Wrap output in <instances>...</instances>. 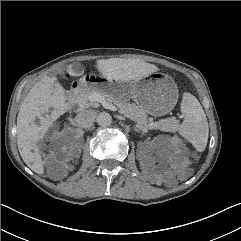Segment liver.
<instances>
[{"label": "liver", "instance_id": "obj_1", "mask_svg": "<svg viewBox=\"0 0 241 241\" xmlns=\"http://www.w3.org/2000/svg\"><path fill=\"white\" fill-rule=\"evenodd\" d=\"M100 74L109 80L131 81L145 75L157 72L158 68L150 63L135 60L110 58L97 62ZM68 74L76 75L71 65L67 67ZM66 95L55 77H45L36 83L21 104L17 116V144L23 161L37 174L44 173L41 156L32 152L36 149V142L52 125V118H45L43 113L53 108L52 114L58 115L66 110ZM40 119V125L36 119Z\"/></svg>", "mask_w": 241, "mask_h": 241}]
</instances>
